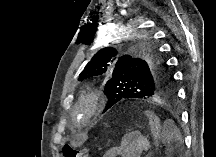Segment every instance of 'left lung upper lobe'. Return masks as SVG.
I'll use <instances>...</instances> for the list:
<instances>
[{
    "label": "left lung upper lobe",
    "mask_w": 216,
    "mask_h": 157,
    "mask_svg": "<svg viewBox=\"0 0 216 157\" xmlns=\"http://www.w3.org/2000/svg\"><path fill=\"white\" fill-rule=\"evenodd\" d=\"M152 31H132L116 35L98 51L79 75V81L111 74L104 93L108 104L127 99L154 100L174 94V78L151 42Z\"/></svg>",
    "instance_id": "5c2ea615"
}]
</instances>
